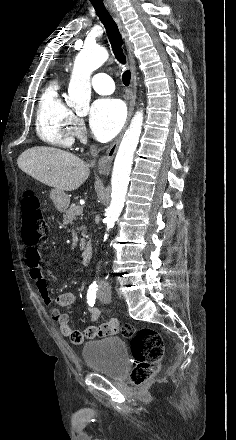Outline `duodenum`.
Masks as SVG:
<instances>
[{"mask_svg":"<svg viewBox=\"0 0 236 440\" xmlns=\"http://www.w3.org/2000/svg\"><path fill=\"white\" fill-rule=\"evenodd\" d=\"M92 254H93L92 246L90 243H87L84 246L83 253H82V263L84 265H87L91 261Z\"/></svg>","mask_w":236,"mask_h":440,"instance_id":"1","label":"duodenum"}]
</instances>
